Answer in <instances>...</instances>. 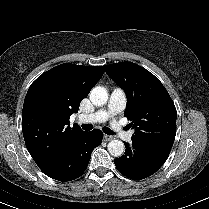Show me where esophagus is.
I'll use <instances>...</instances> for the list:
<instances>
[{
	"label": "esophagus",
	"mask_w": 209,
	"mask_h": 209,
	"mask_svg": "<svg viewBox=\"0 0 209 209\" xmlns=\"http://www.w3.org/2000/svg\"><path fill=\"white\" fill-rule=\"evenodd\" d=\"M114 137L113 136H110V135H107V134H104L103 135V139L105 140V141H110V140H112Z\"/></svg>",
	"instance_id": "esophagus-1"
}]
</instances>
